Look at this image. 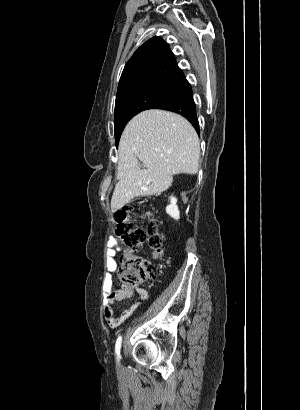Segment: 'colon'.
Segmentation results:
<instances>
[{"mask_svg":"<svg viewBox=\"0 0 300 410\" xmlns=\"http://www.w3.org/2000/svg\"><path fill=\"white\" fill-rule=\"evenodd\" d=\"M133 210L132 207H125L115 213L117 237L133 250L122 257L118 268L119 279L126 287H135L157 275L154 265L137 255L136 251L147 243L154 256L160 257L163 254V239L155 221L150 220L145 228L136 227L130 220Z\"/></svg>","mask_w":300,"mask_h":410,"instance_id":"obj_1","label":"colon"}]
</instances>
